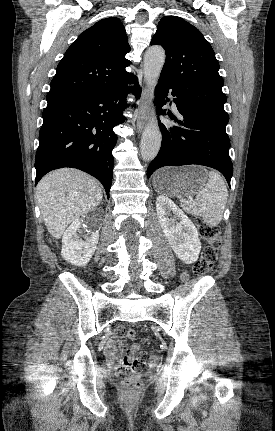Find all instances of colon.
<instances>
[{
    "label": "colon",
    "instance_id": "obj_1",
    "mask_svg": "<svg viewBox=\"0 0 275 431\" xmlns=\"http://www.w3.org/2000/svg\"><path fill=\"white\" fill-rule=\"evenodd\" d=\"M197 228L200 236L208 242L204 247L200 259L194 265V273L198 276H204L209 273L217 260L218 249L221 245V231L218 226H213L206 223L203 219L196 220ZM130 339L136 337V332L133 330L127 333ZM133 352L139 351V345L133 344L131 347ZM146 354L142 353L139 357L131 362H124L118 369V374L123 378V385L127 392L136 393L142 387L140 372L146 366H155L159 360L158 356L151 355L146 362Z\"/></svg>",
    "mask_w": 275,
    "mask_h": 431
}]
</instances>
